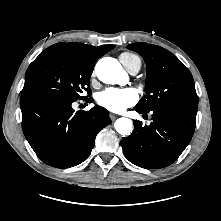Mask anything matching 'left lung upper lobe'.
Returning <instances> with one entry per match:
<instances>
[{
	"instance_id": "5c2ea615",
	"label": "left lung upper lobe",
	"mask_w": 221,
	"mask_h": 221,
	"mask_svg": "<svg viewBox=\"0 0 221 221\" xmlns=\"http://www.w3.org/2000/svg\"><path fill=\"white\" fill-rule=\"evenodd\" d=\"M127 48L139 53L147 65L146 95L135 108L145 112L160 107L197 111L198 97L193 77L175 55L147 43L130 44Z\"/></svg>"
}]
</instances>
